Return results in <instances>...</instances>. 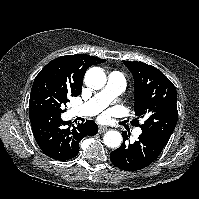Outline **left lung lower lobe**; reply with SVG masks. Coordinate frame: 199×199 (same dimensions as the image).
Segmentation results:
<instances>
[{
    "instance_id": "obj_1",
    "label": "left lung lower lobe",
    "mask_w": 199,
    "mask_h": 199,
    "mask_svg": "<svg viewBox=\"0 0 199 199\" xmlns=\"http://www.w3.org/2000/svg\"><path fill=\"white\" fill-rule=\"evenodd\" d=\"M122 145L110 154L111 162L124 171L141 170L150 165L161 153L167 144L162 138L144 133L134 143L125 145L128 139L127 133L123 132Z\"/></svg>"
}]
</instances>
